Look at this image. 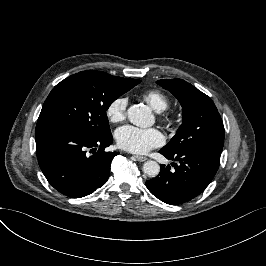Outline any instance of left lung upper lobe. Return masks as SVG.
Returning a JSON list of instances; mask_svg holds the SVG:
<instances>
[{
	"label": "left lung upper lobe",
	"mask_w": 266,
	"mask_h": 266,
	"mask_svg": "<svg viewBox=\"0 0 266 266\" xmlns=\"http://www.w3.org/2000/svg\"><path fill=\"white\" fill-rule=\"evenodd\" d=\"M157 84L170 91L182 106L183 123L163 148L177 152L204 146L222 151L223 122L210 97L182 79L158 80Z\"/></svg>",
	"instance_id": "obj_1"
}]
</instances>
